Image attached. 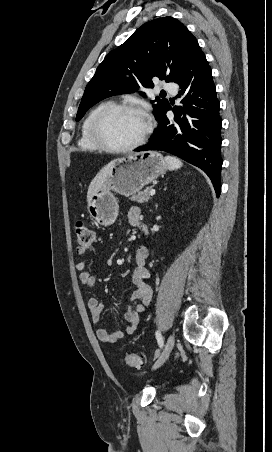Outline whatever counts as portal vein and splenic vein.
<instances>
[{"mask_svg": "<svg viewBox=\"0 0 272 452\" xmlns=\"http://www.w3.org/2000/svg\"><path fill=\"white\" fill-rule=\"evenodd\" d=\"M155 192H156L155 189H151V191L149 192V195L153 196V195H155Z\"/></svg>", "mask_w": 272, "mask_h": 452, "instance_id": "18ae733b", "label": "portal vein and splenic vein"}]
</instances>
